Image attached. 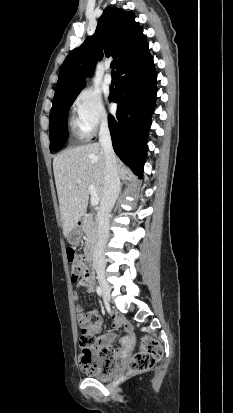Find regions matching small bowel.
<instances>
[{
	"mask_svg": "<svg viewBox=\"0 0 233 413\" xmlns=\"http://www.w3.org/2000/svg\"><path fill=\"white\" fill-rule=\"evenodd\" d=\"M78 288L84 289L88 293H92L94 291L93 274H91L88 278L79 281ZM73 299L74 301L79 302L80 296L77 293H74ZM76 317L83 335H98L97 343L99 348L111 349L110 343L115 338L116 334L115 332H107L101 334L104 322L102 315H100L95 310L91 312H86L84 308L80 304H78L76 306ZM113 326L116 329L124 328L125 330H130V325L128 324L126 319L117 315H115ZM122 353V350H118L115 352V355L118 356Z\"/></svg>",
	"mask_w": 233,
	"mask_h": 413,
	"instance_id": "obj_1",
	"label": "small bowel"
}]
</instances>
